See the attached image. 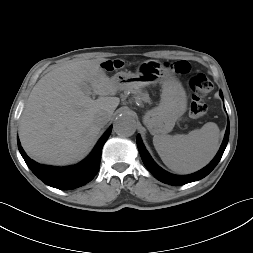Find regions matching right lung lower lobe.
Returning <instances> with one entry per match:
<instances>
[{
	"label": "right lung lower lobe",
	"instance_id": "obj_1",
	"mask_svg": "<svg viewBox=\"0 0 253 253\" xmlns=\"http://www.w3.org/2000/svg\"><path fill=\"white\" fill-rule=\"evenodd\" d=\"M112 126L100 138L91 154L81 163L70 167H53L41 165L29 158L20 145L18 148L31 171L45 184L61 190L74 189L91 181L99 171L101 151L107 141Z\"/></svg>",
	"mask_w": 253,
	"mask_h": 253
}]
</instances>
